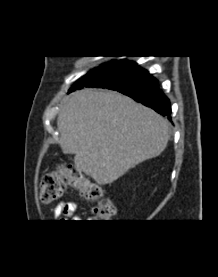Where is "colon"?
Here are the masks:
<instances>
[{
	"label": "colon",
	"instance_id": "colon-1",
	"mask_svg": "<svg viewBox=\"0 0 218 277\" xmlns=\"http://www.w3.org/2000/svg\"><path fill=\"white\" fill-rule=\"evenodd\" d=\"M66 186L79 190L87 200L95 203L92 212L98 220L114 216L115 207L110 200L103 198L101 188L86 179L82 172L72 165L59 164L42 177L39 190L41 202L50 204L57 201Z\"/></svg>",
	"mask_w": 218,
	"mask_h": 277
}]
</instances>
